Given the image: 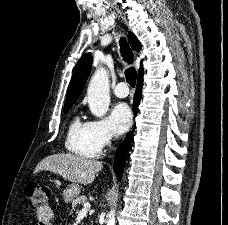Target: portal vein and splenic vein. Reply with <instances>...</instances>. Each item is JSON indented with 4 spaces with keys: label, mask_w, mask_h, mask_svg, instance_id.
<instances>
[{
    "label": "portal vein and splenic vein",
    "mask_w": 228,
    "mask_h": 225,
    "mask_svg": "<svg viewBox=\"0 0 228 225\" xmlns=\"http://www.w3.org/2000/svg\"><path fill=\"white\" fill-rule=\"evenodd\" d=\"M91 209L90 203H84L82 211L80 213H86V211H89Z\"/></svg>",
    "instance_id": "portal-vein-and-splenic-vein-1"
}]
</instances>
